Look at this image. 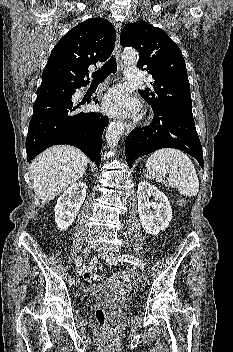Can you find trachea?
Returning a JSON list of instances; mask_svg holds the SVG:
<instances>
[{"instance_id":"3493384b","label":"trachea","mask_w":233,"mask_h":352,"mask_svg":"<svg viewBox=\"0 0 233 352\" xmlns=\"http://www.w3.org/2000/svg\"><path fill=\"white\" fill-rule=\"evenodd\" d=\"M117 72V62L115 57H111L98 71L92 73L93 82H100L107 78L111 73Z\"/></svg>"}]
</instances>
